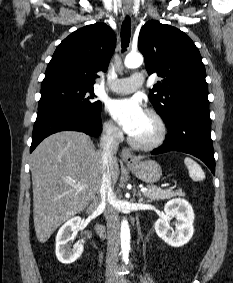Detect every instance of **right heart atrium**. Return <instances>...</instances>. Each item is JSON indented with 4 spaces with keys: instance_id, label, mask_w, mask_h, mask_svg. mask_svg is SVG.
I'll use <instances>...</instances> for the list:
<instances>
[{
    "instance_id": "obj_1",
    "label": "right heart atrium",
    "mask_w": 233,
    "mask_h": 283,
    "mask_svg": "<svg viewBox=\"0 0 233 283\" xmlns=\"http://www.w3.org/2000/svg\"><path fill=\"white\" fill-rule=\"evenodd\" d=\"M104 135L110 139H117L119 136V129L112 120H105L102 125Z\"/></svg>"
}]
</instances>
